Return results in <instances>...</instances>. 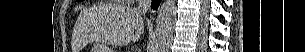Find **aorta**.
Instances as JSON below:
<instances>
[{"label": "aorta", "instance_id": "obj_1", "mask_svg": "<svg viewBox=\"0 0 305 52\" xmlns=\"http://www.w3.org/2000/svg\"><path fill=\"white\" fill-rule=\"evenodd\" d=\"M176 17L175 0H165L159 9L150 52H169Z\"/></svg>", "mask_w": 305, "mask_h": 52}]
</instances>
